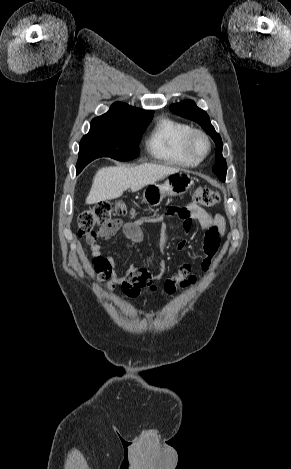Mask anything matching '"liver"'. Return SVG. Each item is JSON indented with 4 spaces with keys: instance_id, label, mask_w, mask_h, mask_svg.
Listing matches in <instances>:
<instances>
[{
    "instance_id": "liver-1",
    "label": "liver",
    "mask_w": 291,
    "mask_h": 469,
    "mask_svg": "<svg viewBox=\"0 0 291 469\" xmlns=\"http://www.w3.org/2000/svg\"><path fill=\"white\" fill-rule=\"evenodd\" d=\"M179 172V169L158 165L141 164L136 167H104L94 176L92 187L86 198L87 204H95L122 196L130 188L136 192L148 184Z\"/></svg>"
}]
</instances>
